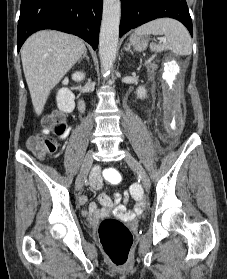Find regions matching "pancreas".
<instances>
[{
  "mask_svg": "<svg viewBox=\"0 0 227 279\" xmlns=\"http://www.w3.org/2000/svg\"><path fill=\"white\" fill-rule=\"evenodd\" d=\"M147 68L149 74H154L155 70L157 69V65L155 63H152Z\"/></svg>",
  "mask_w": 227,
  "mask_h": 279,
  "instance_id": "1",
  "label": "pancreas"
}]
</instances>
